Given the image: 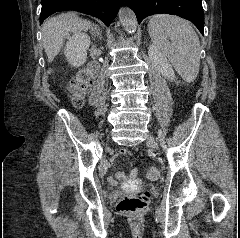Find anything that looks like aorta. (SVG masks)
I'll return each mask as SVG.
<instances>
[{
	"mask_svg": "<svg viewBox=\"0 0 240 238\" xmlns=\"http://www.w3.org/2000/svg\"><path fill=\"white\" fill-rule=\"evenodd\" d=\"M119 20L124 30L133 34L137 30V19L135 13L130 8H121L118 13Z\"/></svg>",
	"mask_w": 240,
	"mask_h": 238,
	"instance_id": "obj_1",
	"label": "aorta"
}]
</instances>
